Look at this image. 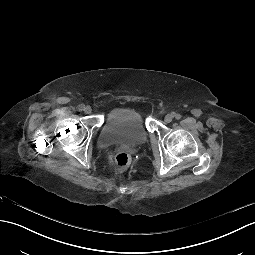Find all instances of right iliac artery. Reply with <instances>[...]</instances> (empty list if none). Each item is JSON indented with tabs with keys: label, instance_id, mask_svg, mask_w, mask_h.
<instances>
[{
	"label": "right iliac artery",
	"instance_id": "obj_1",
	"mask_svg": "<svg viewBox=\"0 0 255 255\" xmlns=\"http://www.w3.org/2000/svg\"><path fill=\"white\" fill-rule=\"evenodd\" d=\"M84 108H85V105H84V104H80V105L78 106V110H79V111L84 110Z\"/></svg>",
	"mask_w": 255,
	"mask_h": 255
}]
</instances>
